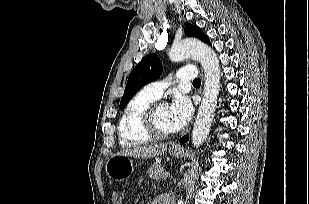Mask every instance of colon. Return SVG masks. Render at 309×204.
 <instances>
[{
  "label": "colon",
  "mask_w": 309,
  "mask_h": 204,
  "mask_svg": "<svg viewBox=\"0 0 309 204\" xmlns=\"http://www.w3.org/2000/svg\"><path fill=\"white\" fill-rule=\"evenodd\" d=\"M111 199L113 204H122V193L118 190H114L111 193Z\"/></svg>",
  "instance_id": "1"
}]
</instances>
